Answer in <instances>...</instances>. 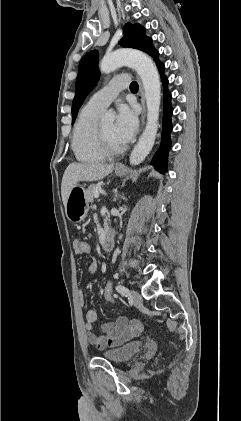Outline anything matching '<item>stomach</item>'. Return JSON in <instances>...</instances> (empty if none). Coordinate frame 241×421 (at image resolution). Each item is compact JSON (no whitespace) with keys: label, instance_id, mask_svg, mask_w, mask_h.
Listing matches in <instances>:
<instances>
[{"label":"stomach","instance_id":"0dacf381","mask_svg":"<svg viewBox=\"0 0 241 421\" xmlns=\"http://www.w3.org/2000/svg\"><path fill=\"white\" fill-rule=\"evenodd\" d=\"M115 173L118 176H124L127 174V169L116 168ZM85 195V188L79 184L71 189L65 205V214L69 221L78 223L86 218L89 206Z\"/></svg>","mask_w":241,"mask_h":421}]
</instances>
